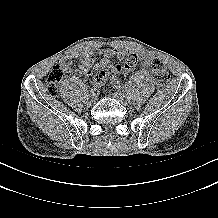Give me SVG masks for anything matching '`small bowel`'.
Listing matches in <instances>:
<instances>
[{
    "label": "small bowel",
    "instance_id": "c3829d8e",
    "mask_svg": "<svg viewBox=\"0 0 218 218\" xmlns=\"http://www.w3.org/2000/svg\"><path fill=\"white\" fill-rule=\"evenodd\" d=\"M80 60L79 71L86 76L91 77L95 71L106 69L110 66L111 59L126 60L123 66V74H129L141 60L143 66H149L152 62L151 54L147 52L126 51L121 48H111L105 50H84L71 53L69 56L62 58L59 66L69 71L72 68V59ZM100 58L98 62L97 59ZM95 86H98L96 77L93 79Z\"/></svg>",
    "mask_w": 218,
    "mask_h": 218
}]
</instances>
